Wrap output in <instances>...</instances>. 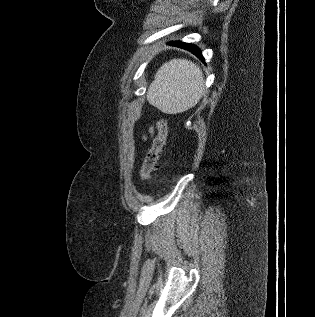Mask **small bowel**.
Masks as SVG:
<instances>
[{"label":"small bowel","mask_w":315,"mask_h":317,"mask_svg":"<svg viewBox=\"0 0 315 317\" xmlns=\"http://www.w3.org/2000/svg\"><path fill=\"white\" fill-rule=\"evenodd\" d=\"M153 133H154V128L150 127L149 128V136L151 137L153 135ZM142 139L146 141L148 139V136L147 135H143Z\"/></svg>","instance_id":"obj_1"}]
</instances>
